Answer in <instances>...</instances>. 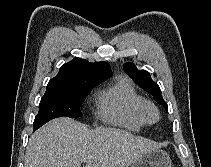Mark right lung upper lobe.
Masks as SVG:
<instances>
[{"label": "right lung upper lobe", "mask_w": 211, "mask_h": 167, "mask_svg": "<svg viewBox=\"0 0 211 167\" xmlns=\"http://www.w3.org/2000/svg\"><path fill=\"white\" fill-rule=\"evenodd\" d=\"M112 75L107 62L90 63L85 59L74 58L65 63L58 74L52 78L47 88L66 87L90 80L103 81Z\"/></svg>", "instance_id": "obj_1"}]
</instances>
